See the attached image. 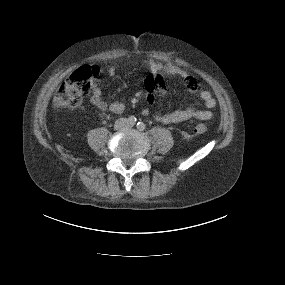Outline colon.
I'll use <instances>...</instances> for the list:
<instances>
[{"instance_id": "1", "label": "colon", "mask_w": 285, "mask_h": 285, "mask_svg": "<svg viewBox=\"0 0 285 285\" xmlns=\"http://www.w3.org/2000/svg\"><path fill=\"white\" fill-rule=\"evenodd\" d=\"M97 74L94 66L85 64L75 69L68 79L58 88L53 98V105L57 109L78 107L91 89V81ZM193 134L206 132L205 124H195L190 127Z\"/></svg>"}]
</instances>
